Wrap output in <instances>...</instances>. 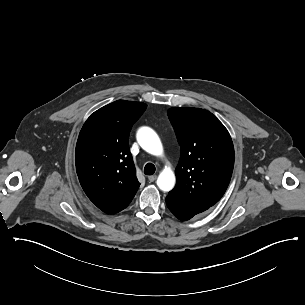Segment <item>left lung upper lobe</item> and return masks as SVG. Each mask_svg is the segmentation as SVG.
<instances>
[{"label": "left lung upper lobe", "mask_w": 305, "mask_h": 305, "mask_svg": "<svg viewBox=\"0 0 305 305\" xmlns=\"http://www.w3.org/2000/svg\"><path fill=\"white\" fill-rule=\"evenodd\" d=\"M168 117L181 149L176 186L168 196L205 211L222 198L229 185L234 166L232 139L209 111L174 107Z\"/></svg>", "instance_id": "obj_1"}]
</instances>
